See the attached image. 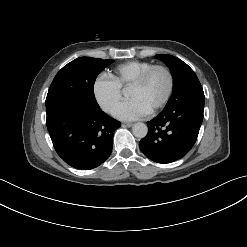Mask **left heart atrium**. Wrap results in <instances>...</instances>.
I'll use <instances>...</instances> for the list:
<instances>
[{
  "instance_id": "1",
  "label": "left heart atrium",
  "mask_w": 247,
  "mask_h": 247,
  "mask_svg": "<svg viewBox=\"0 0 247 247\" xmlns=\"http://www.w3.org/2000/svg\"><path fill=\"white\" fill-rule=\"evenodd\" d=\"M150 110L138 99H130L120 104L114 115L121 120H136L146 116Z\"/></svg>"
}]
</instances>
